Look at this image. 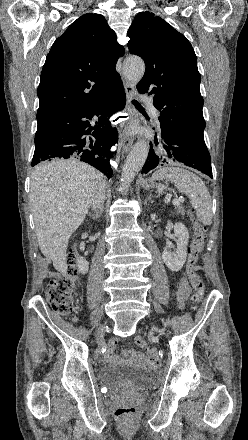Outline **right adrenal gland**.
<instances>
[{"label": "right adrenal gland", "mask_w": 248, "mask_h": 440, "mask_svg": "<svg viewBox=\"0 0 248 440\" xmlns=\"http://www.w3.org/2000/svg\"><path fill=\"white\" fill-rule=\"evenodd\" d=\"M88 215H90L93 220H98L99 217L102 215V208L94 213H88Z\"/></svg>", "instance_id": "right-adrenal-gland-1"}]
</instances>
